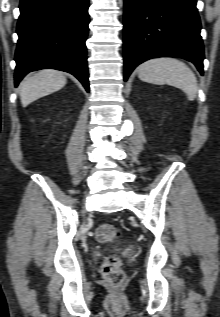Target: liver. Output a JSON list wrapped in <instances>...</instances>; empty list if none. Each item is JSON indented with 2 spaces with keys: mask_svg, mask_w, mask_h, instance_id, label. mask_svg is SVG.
<instances>
[{
  "mask_svg": "<svg viewBox=\"0 0 220 317\" xmlns=\"http://www.w3.org/2000/svg\"><path fill=\"white\" fill-rule=\"evenodd\" d=\"M66 77L60 71L44 69L21 82L19 95L23 107L35 100L54 93L66 84Z\"/></svg>",
  "mask_w": 220,
  "mask_h": 317,
  "instance_id": "6515ba94",
  "label": "liver"
}]
</instances>
